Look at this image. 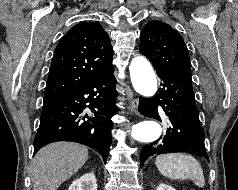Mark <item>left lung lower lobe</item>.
<instances>
[{"label": "left lung lower lobe", "mask_w": 238, "mask_h": 190, "mask_svg": "<svg viewBox=\"0 0 238 190\" xmlns=\"http://www.w3.org/2000/svg\"><path fill=\"white\" fill-rule=\"evenodd\" d=\"M155 70L162 80V88L152 99L140 98L139 112L158 121L166 120L170 127L158 140L142 149L140 164L153 154L174 152L199 154L208 160L191 77L164 69Z\"/></svg>", "instance_id": "0a47b994"}]
</instances>
